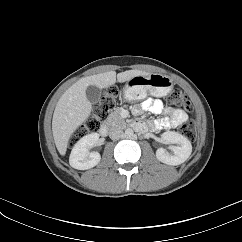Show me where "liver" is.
<instances>
[{
	"label": "liver",
	"instance_id": "obj_1",
	"mask_svg": "<svg viewBox=\"0 0 242 242\" xmlns=\"http://www.w3.org/2000/svg\"><path fill=\"white\" fill-rule=\"evenodd\" d=\"M140 70H128L118 73L109 71L81 78L69 87L61 96L54 110L52 131L58 152L64 156L71 135L89 117L92 105L86 96L89 85L107 88L117 81L126 82L136 75H149Z\"/></svg>",
	"mask_w": 242,
	"mask_h": 242
}]
</instances>
